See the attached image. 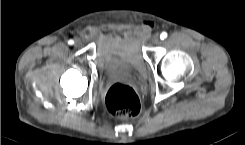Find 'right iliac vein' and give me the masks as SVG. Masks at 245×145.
I'll use <instances>...</instances> for the list:
<instances>
[{"mask_svg":"<svg viewBox=\"0 0 245 145\" xmlns=\"http://www.w3.org/2000/svg\"><path fill=\"white\" fill-rule=\"evenodd\" d=\"M82 45V41L80 40V39H75V46L76 47H79V46H81Z\"/></svg>","mask_w":245,"mask_h":145,"instance_id":"63e3f726","label":"right iliac vein"}]
</instances>
